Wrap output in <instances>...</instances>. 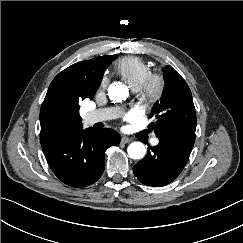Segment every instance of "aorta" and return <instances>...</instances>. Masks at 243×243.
I'll use <instances>...</instances> for the list:
<instances>
[{
	"mask_svg": "<svg viewBox=\"0 0 243 243\" xmlns=\"http://www.w3.org/2000/svg\"><path fill=\"white\" fill-rule=\"evenodd\" d=\"M108 96L113 102H121L128 97V90L121 83H113L108 88ZM127 151L132 159H141L146 152L145 146L141 142H132Z\"/></svg>",
	"mask_w": 243,
	"mask_h": 243,
	"instance_id": "aorta-1",
	"label": "aorta"
}]
</instances>
